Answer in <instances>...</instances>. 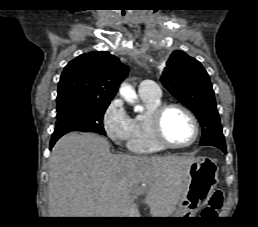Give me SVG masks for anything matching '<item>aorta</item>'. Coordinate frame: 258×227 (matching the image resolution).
<instances>
[{
    "mask_svg": "<svg viewBox=\"0 0 258 227\" xmlns=\"http://www.w3.org/2000/svg\"><path fill=\"white\" fill-rule=\"evenodd\" d=\"M120 95L122 96V98L128 102V103H131L133 104L135 99H137V95L134 91V89L132 88L131 85L129 84H126V83H123L120 87ZM135 110L136 111H142L143 108L139 105H136L135 106Z\"/></svg>",
    "mask_w": 258,
    "mask_h": 227,
    "instance_id": "aorta-1",
    "label": "aorta"
}]
</instances>
